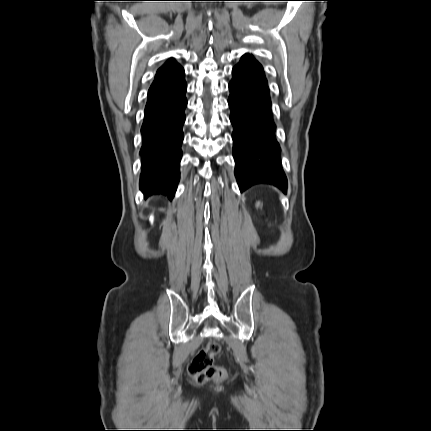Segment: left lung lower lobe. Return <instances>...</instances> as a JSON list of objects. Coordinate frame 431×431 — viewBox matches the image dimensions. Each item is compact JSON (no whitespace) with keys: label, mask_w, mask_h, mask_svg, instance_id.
Here are the masks:
<instances>
[{"label":"left lung lower lobe","mask_w":431,"mask_h":431,"mask_svg":"<svg viewBox=\"0 0 431 431\" xmlns=\"http://www.w3.org/2000/svg\"><path fill=\"white\" fill-rule=\"evenodd\" d=\"M235 176L241 191L258 183L287 190L275 138L268 82L258 63H238L229 83Z\"/></svg>","instance_id":"left-lung-lower-lobe-1"}]
</instances>
